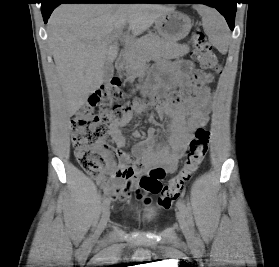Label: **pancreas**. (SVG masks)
I'll list each match as a JSON object with an SVG mask.
<instances>
[{
    "mask_svg": "<svg viewBox=\"0 0 279 267\" xmlns=\"http://www.w3.org/2000/svg\"><path fill=\"white\" fill-rule=\"evenodd\" d=\"M189 51L187 45H180L161 39L156 34H148L131 42L125 51V65L128 77L132 78L149 59H174L184 56Z\"/></svg>",
    "mask_w": 279,
    "mask_h": 267,
    "instance_id": "1",
    "label": "pancreas"
}]
</instances>
